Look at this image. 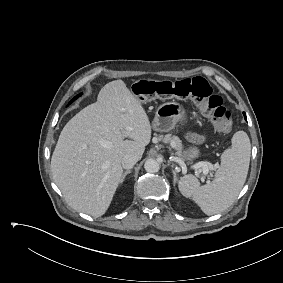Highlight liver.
<instances>
[{
  "mask_svg": "<svg viewBox=\"0 0 283 283\" xmlns=\"http://www.w3.org/2000/svg\"><path fill=\"white\" fill-rule=\"evenodd\" d=\"M151 132L144 108L126 84L107 83L97 102L65 125L52 155L53 179L68 204L102 216L122 178V158L133 153L141 159Z\"/></svg>",
  "mask_w": 283,
  "mask_h": 283,
  "instance_id": "6515ba94",
  "label": "liver"
}]
</instances>
